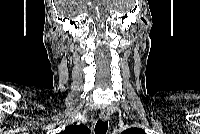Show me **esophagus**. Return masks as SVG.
<instances>
[{
  "label": "esophagus",
  "instance_id": "esophagus-1",
  "mask_svg": "<svg viewBox=\"0 0 200 134\" xmlns=\"http://www.w3.org/2000/svg\"><path fill=\"white\" fill-rule=\"evenodd\" d=\"M110 111L107 110V109H102L101 112H100V118L103 120V121H106L110 118Z\"/></svg>",
  "mask_w": 200,
  "mask_h": 134
}]
</instances>
